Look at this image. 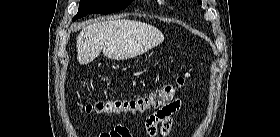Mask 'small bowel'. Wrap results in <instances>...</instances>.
<instances>
[{
    "mask_svg": "<svg viewBox=\"0 0 280 137\" xmlns=\"http://www.w3.org/2000/svg\"><path fill=\"white\" fill-rule=\"evenodd\" d=\"M182 106V101L177 99L150 114L144 122L148 135L168 137L174 125L175 114L182 109ZM100 137H132V134L125 126H117L110 132L101 133Z\"/></svg>",
    "mask_w": 280,
    "mask_h": 137,
    "instance_id": "obj_1",
    "label": "small bowel"
}]
</instances>
